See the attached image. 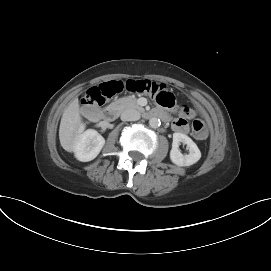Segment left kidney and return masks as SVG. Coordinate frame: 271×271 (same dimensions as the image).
Masks as SVG:
<instances>
[{
    "instance_id": "left-kidney-1",
    "label": "left kidney",
    "mask_w": 271,
    "mask_h": 271,
    "mask_svg": "<svg viewBox=\"0 0 271 271\" xmlns=\"http://www.w3.org/2000/svg\"><path fill=\"white\" fill-rule=\"evenodd\" d=\"M180 143L186 144L189 154L183 155L179 150ZM201 158V152L196 143L187 135L182 133L173 134L172 149L170 159L177 166H190L198 162Z\"/></svg>"
}]
</instances>
